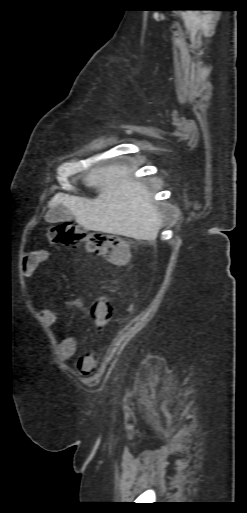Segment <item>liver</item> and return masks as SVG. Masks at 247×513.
<instances>
[{"label":"liver","mask_w":247,"mask_h":513,"mask_svg":"<svg viewBox=\"0 0 247 513\" xmlns=\"http://www.w3.org/2000/svg\"><path fill=\"white\" fill-rule=\"evenodd\" d=\"M131 173L125 164L93 169L84 178V183L100 188L96 198L58 193L48 204L49 212L63 205L87 230L153 240L162 227V216L148 187L133 179ZM48 213L45 216L47 222Z\"/></svg>","instance_id":"liver-1"}]
</instances>
